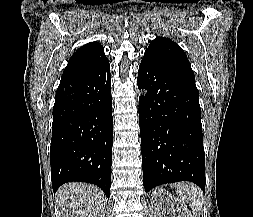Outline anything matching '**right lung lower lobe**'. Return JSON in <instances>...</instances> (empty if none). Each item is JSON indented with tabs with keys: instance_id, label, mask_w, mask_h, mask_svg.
I'll list each match as a JSON object with an SVG mask.
<instances>
[{
	"instance_id": "right-lung-lower-lobe-1",
	"label": "right lung lower lobe",
	"mask_w": 253,
	"mask_h": 217,
	"mask_svg": "<svg viewBox=\"0 0 253 217\" xmlns=\"http://www.w3.org/2000/svg\"><path fill=\"white\" fill-rule=\"evenodd\" d=\"M113 117L109 62L60 82L50 148L53 190L71 181L97 185L110 196Z\"/></svg>"
}]
</instances>
